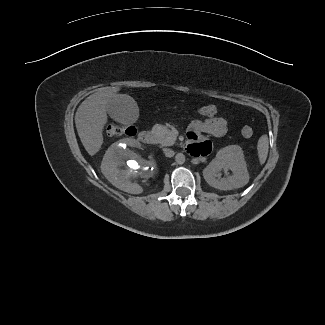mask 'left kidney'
I'll return each instance as SVG.
<instances>
[{
	"instance_id": "left-kidney-1",
	"label": "left kidney",
	"mask_w": 325,
	"mask_h": 325,
	"mask_svg": "<svg viewBox=\"0 0 325 325\" xmlns=\"http://www.w3.org/2000/svg\"><path fill=\"white\" fill-rule=\"evenodd\" d=\"M222 169H229L232 174L227 178H220ZM203 177L210 186L219 190H232L246 185L249 174L242 148L230 145L219 150L216 157L203 170Z\"/></svg>"
}]
</instances>
